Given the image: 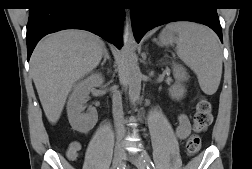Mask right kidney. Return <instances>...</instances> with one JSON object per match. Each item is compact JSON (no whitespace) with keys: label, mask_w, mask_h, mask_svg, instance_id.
Listing matches in <instances>:
<instances>
[{"label":"right kidney","mask_w":252,"mask_h":169,"mask_svg":"<svg viewBox=\"0 0 252 169\" xmlns=\"http://www.w3.org/2000/svg\"><path fill=\"white\" fill-rule=\"evenodd\" d=\"M102 83V74L92 73L74 86L67 102L68 120L74 130L87 133L95 126L98 120L97 111L90 108L88 113H84V110L90 89Z\"/></svg>","instance_id":"right-kidney-1"}]
</instances>
